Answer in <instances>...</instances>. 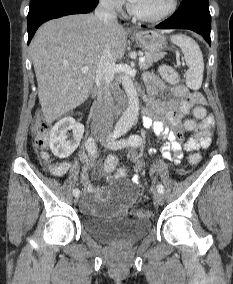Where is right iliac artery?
<instances>
[{
  "label": "right iliac artery",
  "instance_id": "82829eb1",
  "mask_svg": "<svg viewBox=\"0 0 233 284\" xmlns=\"http://www.w3.org/2000/svg\"><path fill=\"white\" fill-rule=\"evenodd\" d=\"M85 147H86L87 151L91 154V156L94 158L96 156V143H95V140L92 137H90L86 140ZM79 194H80L79 189L73 190L74 196H79Z\"/></svg>",
  "mask_w": 233,
  "mask_h": 284
}]
</instances>
